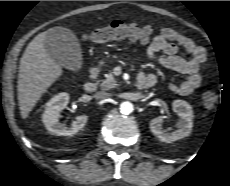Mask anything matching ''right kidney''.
<instances>
[{"label":"right kidney","mask_w":230,"mask_h":186,"mask_svg":"<svg viewBox=\"0 0 230 186\" xmlns=\"http://www.w3.org/2000/svg\"><path fill=\"white\" fill-rule=\"evenodd\" d=\"M68 103L69 94L65 92L55 95L46 103L42 121L51 134L58 136H73L85 126L88 120L86 115L76 117V120L70 127L59 122V113L66 108Z\"/></svg>","instance_id":"right-kidney-1"}]
</instances>
